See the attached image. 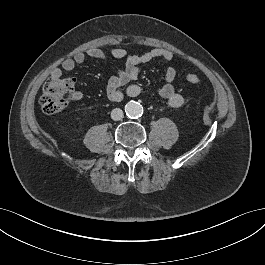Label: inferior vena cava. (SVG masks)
Returning <instances> with one entry per match:
<instances>
[{
  "label": "inferior vena cava",
  "mask_w": 265,
  "mask_h": 265,
  "mask_svg": "<svg viewBox=\"0 0 265 265\" xmlns=\"http://www.w3.org/2000/svg\"><path fill=\"white\" fill-rule=\"evenodd\" d=\"M124 114L120 108H115L111 111V118L115 121L121 120Z\"/></svg>",
  "instance_id": "602c4592"
}]
</instances>
